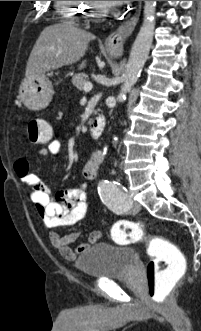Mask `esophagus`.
<instances>
[{
    "label": "esophagus",
    "mask_w": 201,
    "mask_h": 331,
    "mask_svg": "<svg viewBox=\"0 0 201 331\" xmlns=\"http://www.w3.org/2000/svg\"><path fill=\"white\" fill-rule=\"evenodd\" d=\"M139 19V10L105 40L106 48L113 54H121L126 39L132 34Z\"/></svg>",
    "instance_id": "1"
}]
</instances>
